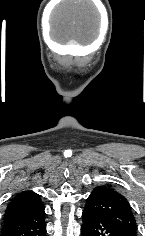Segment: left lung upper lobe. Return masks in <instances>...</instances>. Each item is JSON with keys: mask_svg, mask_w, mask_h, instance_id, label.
Masks as SVG:
<instances>
[{"mask_svg": "<svg viewBox=\"0 0 145 236\" xmlns=\"http://www.w3.org/2000/svg\"><path fill=\"white\" fill-rule=\"evenodd\" d=\"M111 222L127 236L137 235L136 220L127 199L112 186H97L86 200V207Z\"/></svg>", "mask_w": 145, "mask_h": 236, "instance_id": "1", "label": "left lung upper lobe"}]
</instances>
